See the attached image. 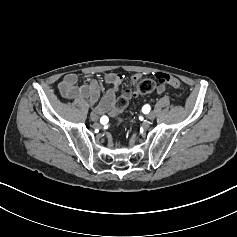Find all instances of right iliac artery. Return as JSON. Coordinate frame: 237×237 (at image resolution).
Wrapping results in <instances>:
<instances>
[{
	"instance_id": "1",
	"label": "right iliac artery",
	"mask_w": 237,
	"mask_h": 237,
	"mask_svg": "<svg viewBox=\"0 0 237 237\" xmlns=\"http://www.w3.org/2000/svg\"><path fill=\"white\" fill-rule=\"evenodd\" d=\"M105 119V121L108 120V117L107 116H102L101 119H100V122L102 123V120Z\"/></svg>"
}]
</instances>
